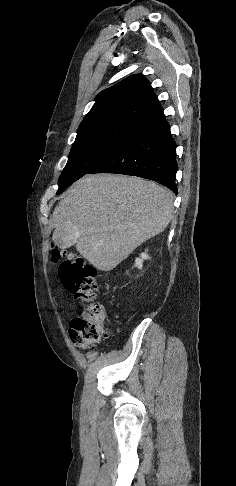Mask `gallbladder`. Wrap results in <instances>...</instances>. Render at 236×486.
Returning <instances> with one entry per match:
<instances>
[{"instance_id":"obj_1","label":"gallbladder","mask_w":236,"mask_h":486,"mask_svg":"<svg viewBox=\"0 0 236 486\" xmlns=\"http://www.w3.org/2000/svg\"><path fill=\"white\" fill-rule=\"evenodd\" d=\"M75 232L73 228L64 229L62 227L56 228L54 232L53 241L55 245L60 248H67L72 245L73 241H69L67 238L69 235H73Z\"/></svg>"}]
</instances>
